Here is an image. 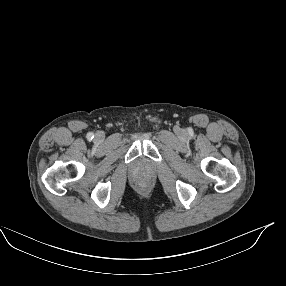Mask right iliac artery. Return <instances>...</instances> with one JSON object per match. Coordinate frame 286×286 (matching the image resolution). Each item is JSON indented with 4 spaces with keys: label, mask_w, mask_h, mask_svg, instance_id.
Here are the masks:
<instances>
[{
    "label": "right iliac artery",
    "mask_w": 286,
    "mask_h": 286,
    "mask_svg": "<svg viewBox=\"0 0 286 286\" xmlns=\"http://www.w3.org/2000/svg\"><path fill=\"white\" fill-rule=\"evenodd\" d=\"M87 137H88V139H93V138H94V134H93V133H89V134L87 135Z\"/></svg>",
    "instance_id": "82829eb1"
}]
</instances>
